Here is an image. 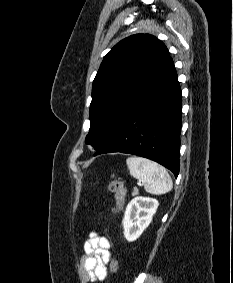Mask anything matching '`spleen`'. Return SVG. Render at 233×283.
I'll return each mask as SVG.
<instances>
[{"mask_svg": "<svg viewBox=\"0 0 233 283\" xmlns=\"http://www.w3.org/2000/svg\"><path fill=\"white\" fill-rule=\"evenodd\" d=\"M130 175L142 181L150 194L161 195L171 191L173 182L167 170L146 158L129 157L126 160Z\"/></svg>", "mask_w": 233, "mask_h": 283, "instance_id": "spleen-1", "label": "spleen"}]
</instances>
